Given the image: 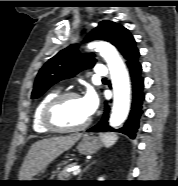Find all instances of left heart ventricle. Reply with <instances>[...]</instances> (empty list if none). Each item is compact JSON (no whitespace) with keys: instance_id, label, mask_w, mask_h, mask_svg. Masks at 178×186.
Listing matches in <instances>:
<instances>
[{"instance_id":"1","label":"left heart ventricle","mask_w":178,"mask_h":186,"mask_svg":"<svg viewBox=\"0 0 178 186\" xmlns=\"http://www.w3.org/2000/svg\"><path fill=\"white\" fill-rule=\"evenodd\" d=\"M89 115L80 98H70L60 103L53 114L57 125L65 128L76 127L83 124Z\"/></svg>"}]
</instances>
